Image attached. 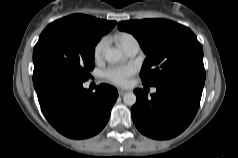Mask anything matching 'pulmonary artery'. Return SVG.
Here are the masks:
<instances>
[{
	"mask_svg": "<svg viewBox=\"0 0 238 158\" xmlns=\"http://www.w3.org/2000/svg\"><path fill=\"white\" fill-rule=\"evenodd\" d=\"M139 43L136 39L131 40L125 47L124 51L129 57L135 56L139 51ZM152 92L155 93L156 89H152Z\"/></svg>",
	"mask_w": 238,
	"mask_h": 158,
	"instance_id": "1",
	"label": "pulmonary artery"
}]
</instances>
